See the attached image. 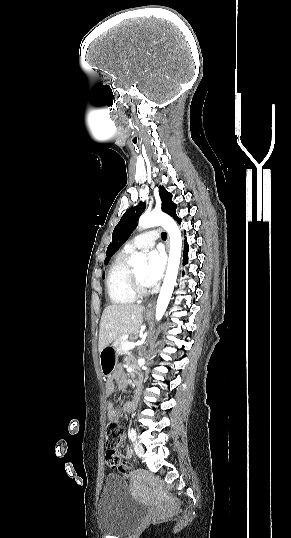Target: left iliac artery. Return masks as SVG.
<instances>
[{
  "mask_svg": "<svg viewBox=\"0 0 291 538\" xmlns=\"http://www.w3.org/2000/svg\"><path fill=\"white\" fill-rule=\"evenodd\" d=\"M130 439L132 441L136 440V431L133 428H131V430H130Z\"/></svg>",
  "mask_w": 291,
  "mask_h": 538,
  "instance_id": "obj_1",
  "label": "left iliac artery"
}]
</instances>
